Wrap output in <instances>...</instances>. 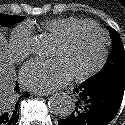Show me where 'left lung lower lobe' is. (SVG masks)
<instances>
[{"instance_id":"left-lung-lower-lobe-1","label":"left lung lower lobe","mask_w":125,"mask_h":125,"mask_svg":"<svg viewBox=\"0 0 125 125\" xmlns=\"http://www.w3.org/2000/svg\"><path fill=\"white\" fill-rule=\"evenodd\" d=\"M125 89V76L89 85L83 82L74 94L75 109L59 125H107L117 114Z\"/></svg>"}]
</instances>
